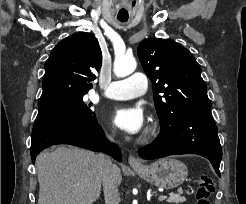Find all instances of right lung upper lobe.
<instances>
[{
	"instance_id": "obj_1",
	"label": "right lung upper lobe",
	"mask_w": 246,
	"mask_h": 204,
	"mask_svg": "<svg viewBox=\"0 0 246 204\" xmlns=\"http://www.w3.org/2000/svg\"><path fill=\"white\" fill-rule=\"evenodd\" d=\"M101 63L102 53L94 35L81 32L65 38L55 46L45 63L39 101L67 93L88 92Z\"/></svg>"
}]
</instances>
